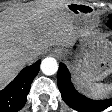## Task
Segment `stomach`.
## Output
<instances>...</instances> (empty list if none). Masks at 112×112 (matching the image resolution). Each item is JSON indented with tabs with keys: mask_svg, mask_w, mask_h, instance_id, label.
<instances>
[{
	"mask_svg": "<svg viewBox=\"0 0 112 112\" xmlns=\"http://www.w3.org/2000/svg\"><path fill=\"white\" fill-rule=\"evenodd\" d=\"M66 9L74 17H86L92 11L90 6L78 2L68 3ZM110 72H112V51L106 42L94 45L76 66V73L87 84L104 79Z\"/></svg>",
	"mask_w": 112,
	"mask_h": 112,
	"instance_id": "0dacf381",
	"label": "stomach"
}]
</instances>
